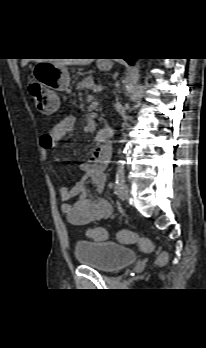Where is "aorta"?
Returning <instances> with one entry per match:
<instances>
[{"label": "aorta", "instance_id": "obj_1", "mask_svg": "<svg viewBox=\"0 0 206 348\" xmlns=\"http://www.w3.org/2000/svg\"><path fill=\"white\" fill-rule=\"evenodd\" d=\"M140 60H137L135 62V65H133L131 67V69L129 70V73L126 77V89H127V96H130L134 86L136 85V83L138 82L139 78H140Z\"/></svg>", "mask_w": 206, "mask_h": 348}]
</instances>
